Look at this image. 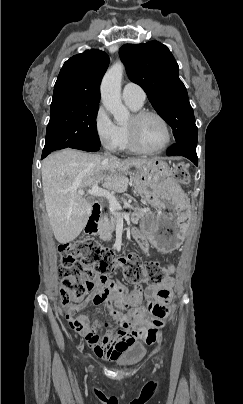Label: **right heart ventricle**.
Returning a JSON list of instances; mask_svg holds the SVG:
<instances>
[{
	"label": "right heart ventricle",
	"mask_w": 243,
	"mask_h": 404,
	"mask_svg": "<svg viewBox=\"0 0 243 404\" xmlns=\"http://www.w3.org/2000/svg\"><path fill=\"white\" fill-rule=\"evenodd\" d=\"M127 106L134 112L138 111L141 109L143 104H139L135 101L131 100H124ZM119 131L121 133V138H122V145H121V151L126 154L130 155H138L141 154L142 152L138 150L130 141L129 136L126 131V126L125 125H119Z\"/></svg>",
	"instance_id": "e07e8e85"
}]
</instances>
